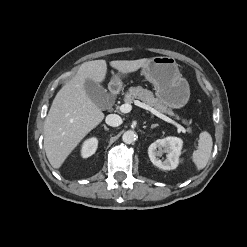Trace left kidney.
Instances as JSON below:
<instances>
[{
  "label": "left kidney",
  "instance_id": "left-kidney-1",
  "mask_svg": "<svg viewBox=\"0 0 247 247\" xmlns=\"http://www.w3.org/2000/svg\"><path fill=\"white\" fill-rule=\"evenodd\" d=\"M183 141L177 137H166L153 142L148 148L151 162L163 170L175 169L179 164ZM166 153V159L162 161L159 157Z\"/></svg>",
  "mask_w": 247,
  "mask_h": 247
}]
</instances>
